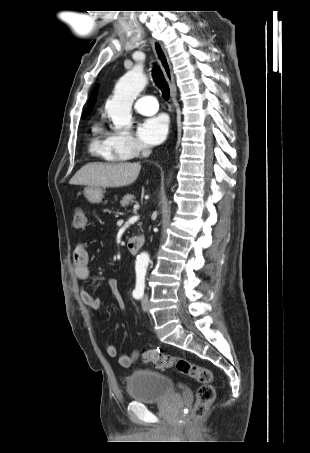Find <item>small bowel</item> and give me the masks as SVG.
I'll use <instances>...</instances> for the list:
<instances>
[{"instance_id":"small-bowel-1","label":"small bowel","mask_w":310,"mask_h":453,"mask_svg":"<svg viewBox=\"0 0 310 453\" xmlns=\"http://www.w3.org/2000/svg\"><path fill=\"white\" fill-rule=\"evenodd\" d=\"M73 269L74 275L77 280L81 282H88L91 280V273L89 270V253L85 245L78 244L75 246L73 251ZM107 287L110 290L112 296L116 300L120 309H124V299L119 290V280L115 277H111L107 280ZM83 302L94 310H99L102 306L99 297L94 296L88 290L82 288L80 291ZM105 351L111 358H116L120 366L128 368L135 363L139 358V352L134 351L131 354H119L115 345L106 342Z\"/></svg>"}]
</instances>
